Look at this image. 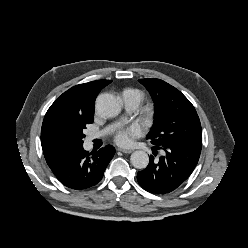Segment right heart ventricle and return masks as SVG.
<instances>
[{
  "label": "right heart ventricle",
  "instance_id": "right-heart-ventricle-1",
  "mask_svg": "<svg viewBox=\"0 0 248 248\" xmlns=\"http://www.w3.org/2000/svg\"><path fill=\"white\" fill-rule=\"evenodd\" d=\"M133 93H135L136 95H138L140 97V99H142V93L141 91L137 90V89H127Z\"/></svg>",
  "mask_w": 248,
  "mask_h": 248
}]
</instances>
